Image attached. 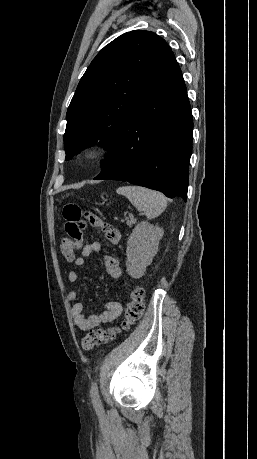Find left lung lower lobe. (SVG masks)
I'll use <instances>...</instances> for the list:
<instances>
[{"instance_id": "obj_1", "label": "left lung lower lobe", "mask_w": 257, "mask_h": 459, "mask_svg": "<svg viewBox=\"0 0 257 459\" xmlns=\"http://www.w3.org/2000/svg\"><path fill=\"white\" fill-rule=\"evenodd\" d=\"M193 119L172 54L122 123L114 151L94 178L127 181L187 199Z\"/></svg>"}]
</instances>
